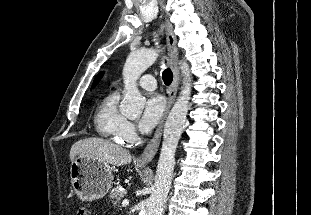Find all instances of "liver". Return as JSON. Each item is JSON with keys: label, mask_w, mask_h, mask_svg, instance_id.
<instances>
[{"label": "liver", "mask_w": 311, "mask_h": 215, "mask_svg": "<svg viewBox=\"0 0 311 215\" xmlns=\"http://www.w3.org/2000/svg\"><path fill=\"white\" fill-rule=\"evenodd\" d=\"M77 156L96 159L113 166H123L132 161V156L128 150L95 137L79 140L72 145L69 154L71 162Z\"/></svg>", "instance_id": "6515ba94"}]
</instances>
